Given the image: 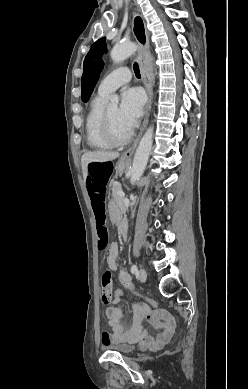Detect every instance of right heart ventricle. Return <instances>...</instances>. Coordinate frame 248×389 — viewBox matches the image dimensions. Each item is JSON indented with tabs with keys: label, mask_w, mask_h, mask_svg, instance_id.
Listing matches in <instances>:
<instances>
[{
	"label": "right heart ventricle",
	"mask_w": 248,
	"mask_h": 389,
	"mask_svg": "<svg viewBox=\"0 0 248 389\" xmlns=\"http://www.w3.org/2000/svg\"><path fill=\"white\" fill-rule=\"evenodd\" d=\"M105 100L106 96L98 93V95L92 99L85 118V134L87 143L90 147L100 150L110 149L114 146L103 134Z\"/></svg>",
	"instance_id": "obj_1"
}]
</instances>
